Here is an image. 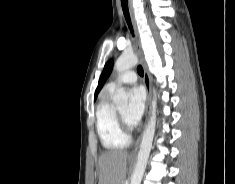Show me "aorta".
Segmentation results:
<instances>
[{
  "mask_svg": "<svg viewBox=\"0 0 235 184\" xmlns=\"http://www.w3.org/2000/svg\"><path fill=\"white\" fill-rule=\"evenodd\" d=\"M136 64H138V58L135 56V54H123V56L118 58L115 64V70H117L118 74H122V72H125V70H130V68H132V66H136ZM128 98V92H126L125 88H120L119 86L115 92L113 102L116 104V106H127ZM150 110L151 116L141 140L138 152V160L136 168L131 176L130 184H141L147 160L150 156L156 126L157 98L155 92H153Z\"/></svg>",
  "mask_w": 235,
  "mask_h": 184,
  "instance_id": "aorta-1",
  "label": "aorta"
}]
</instances>
